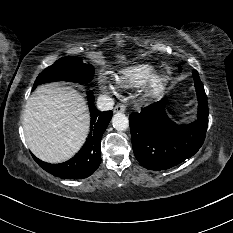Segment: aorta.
Instances as JSON below:
<instances>
[{
  "label": "aorta",
  "mask_w": 233,
  "mask_h": 233,
  "mask_svg": "<svg viewBox=\"0 0 233 233\" xmlns=\"http://www.w3.org/2000/svg\"><path fill=\"white\" fill-rule=\"evenodd\" d=\"M112 124L117 131H125L129 127V120L125 114L116 113L112 118Z\"/></svg>",
  "instance_id": "aorta-1"
}]
</instances>
